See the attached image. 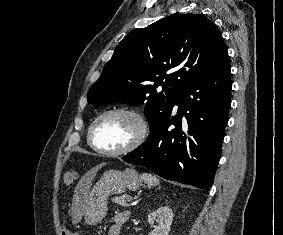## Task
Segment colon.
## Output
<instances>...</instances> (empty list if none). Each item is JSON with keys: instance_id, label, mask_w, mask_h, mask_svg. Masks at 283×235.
Returning <instances> with one entry per match:
<instances>
[{"instance_id": "colon-1", "label": "colon", "mask_w": 283, "mask_h": 235, "mask_svg": "<svg viewBox=\"0 0 283 235\" xmlns=\"http://www.w3.org/2000/svg\"><path fill=\"white\" fill-rule=\"evenodd\" d=\"M76 177V171L73 169H69L64 173L63 182L65 185H70L76 180ZM64 235H68V232H65Z\"/></svg>"}]
</instances>
